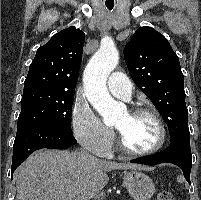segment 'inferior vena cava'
<instances>
[{"label": "inferior vena cava", "mask_w": 201, "mask_h": 200, "mask_svg": "<svg viewBox=\"0 0 201 200\" xmlns=\"http://www.w3.org/2000/svg\"><path fill=\"white\" fill-rule=\"evenodd\" d=\"M83 153V155H87L88 156V153L84 151V149L81 151Z\"/></svg>", "instance_id": "inferior-vena-cava-1"}]
</instances>
